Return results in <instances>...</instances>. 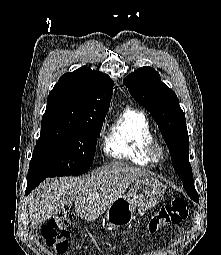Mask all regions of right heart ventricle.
<instances>
[{
	"label": "right heart ventricle",
	"instance_id": "obj_1",
	"mask_svg": "<svg viewBox=\"0 0 221 255\" xmlns=\"http://www.w3.org/2000/svg\"><path fill=\"white\" fill-rule=\"evenodd\" d=\"M153 139V130L146 114L128 107L112 121L104 139L103 150L113 159L146 166L152 163L147 145Z\"/></svg>",
	"mask_w": 221,
	"mask_h": 255
}]
</instances>
